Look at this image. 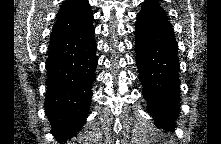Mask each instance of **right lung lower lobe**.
I'll return each instance as SVG.
<instances>
[{"instance_id": "right-lung-lower-lobe-1", "label": "right lung lower lobe", "mask_w": 221, "mask_h": 144, "mask_svg": "<svg viewBox=\"0 0 221 144\" xmlns=\"http://www.w3.org/2000/svg\"><path fill=\"white\" fill-rule=\"evenodd\" d=\"M94 33L91 23L48 46L45 112L59 142L81 129L90 110L97 66Z\"/></svg>"}]
</instances>
